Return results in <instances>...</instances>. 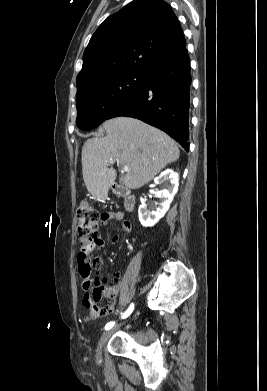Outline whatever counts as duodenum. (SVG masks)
<instances>
[{"mask_svg": "<svg viewBox=\"0 0 267 391\" xmlns=\"http://www.w3.org/2000/svg\"><path fill=\"white\" fill-rule=\"evenodd\" d=\"M112 192L115 195L124 197V207L126 210L131 211L134 208L135 198L126 187L114 182L112 184Z\"/></svg>", "mask_w": 267, "mask_h": 391, "instance_id": "duodenum-1", "label": "duodenum"}]
</instances>
